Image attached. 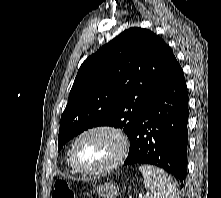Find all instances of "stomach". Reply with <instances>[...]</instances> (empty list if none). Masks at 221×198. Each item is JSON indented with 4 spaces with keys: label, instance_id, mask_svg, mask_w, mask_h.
<instances>
[{
    "label": "stomach",
    "instance_id": "obj_1",
    "mask_svg": "<svg viewBox=\"0 0 221 198\" xmlns=\"http://www.w3.org/2000/svg\"><path fill=\"white\" fill-rule=\"evenodd\" d=\"M119 190V187L112 182H106L95 189L102 198H116L120 193Z\"/></svg>",
    "mask_w": 221,
    "mask_h": 198
}]
</instances>
